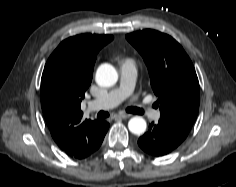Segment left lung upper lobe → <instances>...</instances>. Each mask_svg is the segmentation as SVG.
<instances>
[{
  "label": "left lung upper lobe",
  "mask_w": 236,
  "mask_h": 187,
  "mask_svg": "<svg viewBox=\"0 0 236 187\" xmlns=\"http://www.w3.org/2000/svg\"><path fill=\"white\" fill-rule=\"evenodd\" d=\"M142 55L154 93L159 97V121L188 135L196 119L200 87L194 66L171 36L146 29L126 35Z\"/></svg>",
  "instance_id": "1"
}]
</instances>
